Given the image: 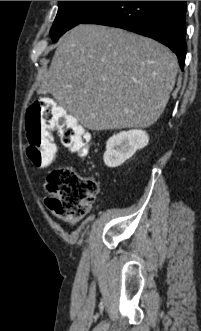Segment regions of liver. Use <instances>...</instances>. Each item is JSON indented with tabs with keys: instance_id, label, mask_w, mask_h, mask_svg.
Segmentation results:
<instances>
[{
	"instance_id": "6515ba94",
	"label": "liver",
	"mask_w": 201,
	"mask_h": 331,
	"mask_svg": "<svg viewBox=\"0 0 201 331\" xmlns=\"http://www.w3.org/2000/svg\"><path fill=\"white\" fill-rule=\"evenodd\" d=\"M176 56L119 28L80 24L60 41L41 91L90 130L147 128L175 85Z\"/></svg>"
}]
</instances>
